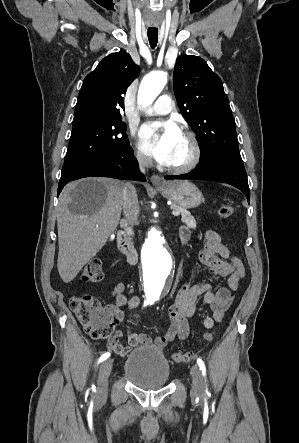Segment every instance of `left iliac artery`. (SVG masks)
<instances>
[{
    "instance_id": "obj_1",
    "label": "left iliac artery",
    "mask_w": 299,
    "mask_h": 443,
    "mask_svg": "<svg viewBox=\"0 0 299 443\" xmlns=\"http://www.w3.org/2000/svg\"><path fill=\"white\" fill-rule=\"evenodd\" d=\"M154 302H155V300H152V301H150V304L152 305V304H154ZM197 364L200 367V370L202 371L203 377H206V367H205V364H204L203 360L198 358L197 359Z\"/></svg>"
}]
</instances>
